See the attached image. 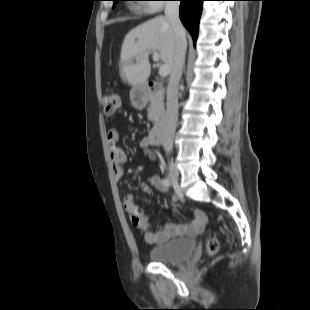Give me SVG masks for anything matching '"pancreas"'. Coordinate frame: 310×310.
Masks as SVG:
<instances>
[{"label":"pancreas","instance_id":"obj_1","mask_svg":"<svg viewBox=\"0 0 310 310\" xmlns=\"http://www.w3.org/2000/svg\"><path fill=\"white\" fill-rule=\"evenodd\" d=\"M164 115L163 99L158 96L151 98V105L148 108V120L152 122H159Z\"/></svg>","mask_w":310,"mask_h":310}]
</instances>
